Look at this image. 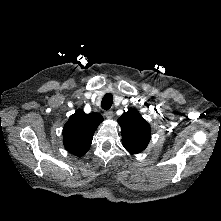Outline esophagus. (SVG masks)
<instances>
[{
  "mask_svg": "<svg viewBox=\"0 0 221 221\" xmlns=\"http://www.w3.org/2000/svg\"><path fill=\"white\" fill-rule=\"evenodd\" d=\"M104 116H105L107 119H111V118L113 117V111L107 110V111L104 113Z\"/></svg>",
  "mask_w": 221,
  "mask_h": 221,
  "instance_id": "1",
  "label": "esophagus"
}]
</instances>
